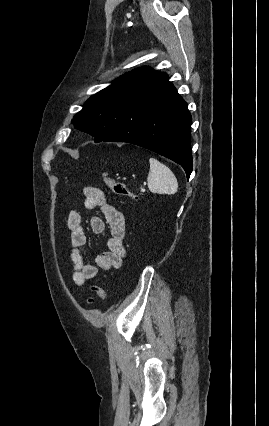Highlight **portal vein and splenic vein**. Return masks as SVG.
<instances>
[{
	"label": "portal vein and splenic vein",
	"instance_id": "obj_1",
	"mask_svg": "<svg viewBox=\"0 0 269 426\" xmlns=\"http://www.w3.org/2000/svg\"><path fill=\"white\" fill-rule=\"evenodd\" d=\"M141 192H145V189H144V188H141Z\"/></svg>",
	"mask_w": 269,
	"mask_h": 426
}]
</instances>
